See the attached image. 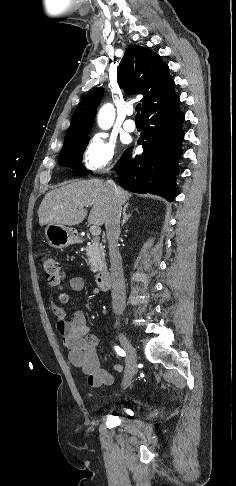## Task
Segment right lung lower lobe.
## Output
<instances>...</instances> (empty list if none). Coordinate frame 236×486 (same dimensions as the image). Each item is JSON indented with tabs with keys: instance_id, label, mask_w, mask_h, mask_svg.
Listing matches in <instances>:
<instances>
[{
	"instance_id": "98d812e1",
	"label": "right lung lower lobe",
	"mask_w": 236,
	"mask_h": 486,
	"mask_svg": "<svg viewBox=\"0 0 236 486\" xmlns=\"http://www.w3.org/2000/svg\"><path fill=\"white\" fill-rule=\"evenodd\" d=\"M180 99L170 97L142 110L143 130L138 144L143 153L132 158V147L127 149L115 165L119 184L136 193L160 195L169 201L175 196L174 176L184 136V114L179 109Z\"/></svg>"
}]
</instances>
